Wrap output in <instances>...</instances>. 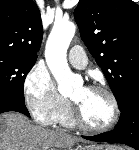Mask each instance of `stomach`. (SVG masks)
I'll return each mask as SVG.
<instances>
[{
	"mask_svg": "<svg viewBox=\"0 0 139 150\" xmlns=\"http://www.w3.org/2000/svg\"><path fill=\"white\" fill-rule=\"evenodd\" d=\"M76 150H122L117 146L111 145H98V146H85V147H77Z\"/></svg>",
	"mask_w": 139,
	"mask_h": 150,
	"instance_id": "1",
	"label": "stomach"
}]
</instances>
